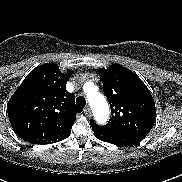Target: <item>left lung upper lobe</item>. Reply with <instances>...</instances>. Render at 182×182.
Here are the masks:
<instances>
[{
	"label": "left lung upper lobe",
	"mask_w": 182,
	"mask_h": 182,
	"mask_svg": "<svg viewBox=\"0 0 182 182\" xmlns=\"http://www.w3.org/2000/svg\"><path fill=\"white\" fill-rule=\"evenodd\" d=\"M98 73L112 116L102 127L145 138L156 119L155 102L146 85L136 74L118 64L99 69ZM90 124L97 125L93 121Z\"/></svg>",
	"instance_id": "5c2ea615"
}]
</instances>
